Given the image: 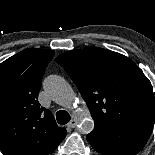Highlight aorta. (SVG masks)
Returning <instances> with one entry per match:
<instances>
[{
    "label": "aorta",
    "mask_w": 155,
    "mask_h": 155,
    "mask_svg": "<svg viewBox=\"0 0 155 155\" xmlns=\"http://www.w3.org/2000/svg\"><path fill=\"white\" fill-rule=\"evenodd\" d=\"M44 89L56 103L74 109L73 104L76 102V95L64 78L58 75L48 76L44 81ZM78 121V128L82 133L88 134L94 129L95 124L89 114L84 113L78 117Z\"/></svg>",
    "instance_id": "1"
}]
</instances>
